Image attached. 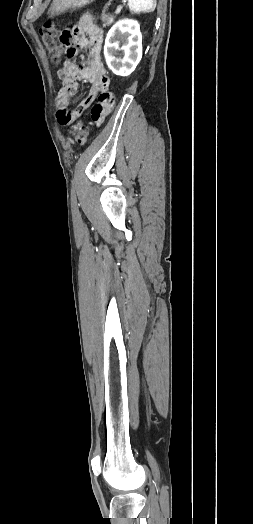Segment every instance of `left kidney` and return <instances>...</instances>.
Returning a JSON list of instances; mask_svg holds the SVG:
<instances>
[{"label":"left kidney","mask_w":253,"mask_h":524,"mask_svg":"<svg viewBox=\"0 0 253 524\" xmlns=\"http://www.w3.org/2000/svg\"><path fill=\"white\" fill-rule=\"evenodd\" d=\"M120 43H122L121 47ZM104 56L109 69L114 74L130 75L142 58V35L139 23L129 19L118 21L106 36Z\"/></svg>","instance_id":"1"}]
</instances>
